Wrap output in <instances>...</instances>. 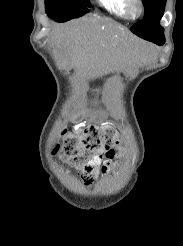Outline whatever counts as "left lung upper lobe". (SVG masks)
<instances>
[{
    "mask_svg": "<svg viewBox=\"0 0 183 246\" xmlns=\"http://www.w3.org/2000/svg\"><path fill=\"white\" fill-rule=\"evenodd\" d=\"M142 1L145 7L144 19L134 24L130 30L148 41H151L152 38H164V29L159 23L164 14L166 0Z\"/></svg>",
    "mask_w": 183,
    "mask_h": 246,
    "instance_id": "obj_1",
    "label": "left lung upper lobe"
}]
</instances>
